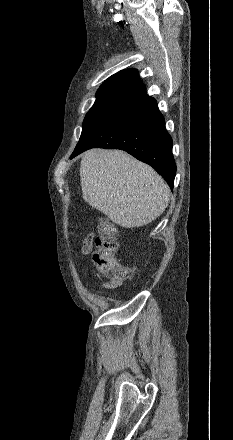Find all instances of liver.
I'll return each mask as SVG.
<instances>
[{"label": "liver", "instance_id": "6515ba94", "mask_svg": "<svg viewBox=\"0 0 233 440\" xmlns=\"http://www.w3.org/2000/svg\"><path fill=\"white\" fill-rule=\"evenodd\" d=\"M80 181L85 202L124 228L150 223L165 211L170 200L164 179L120 150L85 152Z\"/></svg>", "mask_w": 233, "mask_h": 440}]
</instances>
